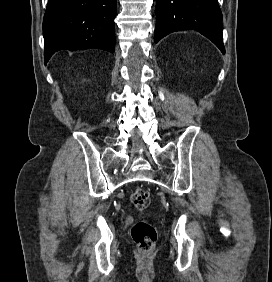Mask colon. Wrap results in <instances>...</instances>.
Segmentation results:
<instances>
[{"label": "colon", "instance_id": "obj_1", "mask_svg": "<svg viewBox=\"0 0 272 282\" xmlns=\"http://www.w3.org/2000/svg\"><path fill=\"white\" fill-rule=\"evenodd\" d=\"M130 200L138 210L146 209L150 203L149 194L143 188L135 189L131 194ZM131 236L140 252L145 255L152 253L156 243L157 233L148 219L143 218L138 220L132 227Z\"/></svg>", "mask_w": 272, "mask_h": 282}]
</instances>
